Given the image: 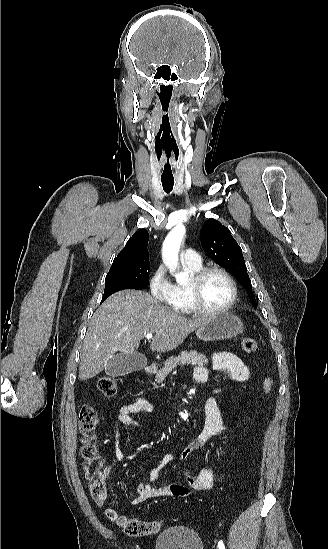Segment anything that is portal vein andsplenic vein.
Here are the masks:
<instances>
[{
    "instance_id": "portal-vein-and-splenic-vein-1",
    "label": "portal vein and splenic vein",
    "mask_w": 328,
    "mask_h": 549,
    "mask_svg": "<svg viewBox=\"0 0 328 549\" xmlns=\"http://www.w3.org/2000/svg\"><path fill=\"white\" fill-rule=\"evenodd\" d=\"M152 337H153L152 333H147L146 339H148V341H150V339H152Z\"/></svg>"
}]
</instances>
